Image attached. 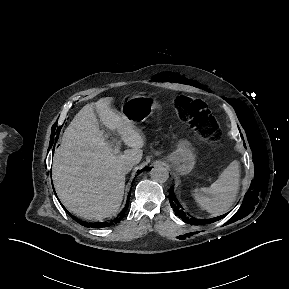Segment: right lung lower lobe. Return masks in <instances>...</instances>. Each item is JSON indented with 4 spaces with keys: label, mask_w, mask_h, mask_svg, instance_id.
I'll return each mask as SVG.
<instances>
[{
    "label": "right lung lower lobe",
    "mask_w": 289,
    "mask_h": 289,
    "mask_svg": "<svg viewBox=\"0 0 289 289\" xmlns=\"http://www.w3.org/2000/svg\"><path fill=\"white\" fill-rule=\"evenodd\" d=\"M143 170L146 169H142L139 173H141ZM129 198H130V194L128 196L127 199V203L125 205V208L122 210V212L112 221L109 222H99V223H87V222H82L80 220H78L77 218H75L74 216H72L69 212L68 214L74 219L76 220L78 223H80L81 225L85 226V227H92V228H102V227H108L111 225H115L117 223H119L121 221V219L124 217V212L126 211V209L128 208V204H129Z\"/></svg>",
    "instance_id": "obj_1"
}]
</instances>
